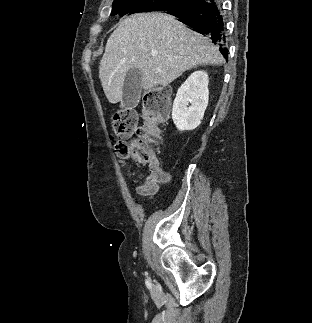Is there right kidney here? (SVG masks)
Instances as JSON below:
<instances>
[{"mask_svg": "<svg viewBox=\"0 0 312 323\" xmlns=\"http://www.w3.org/2000/svg\"><path fill=\"white\" fill-rule=\"evenodd\" d=\"M208 84L207 72L198 70L180 86L172 108V120L180 132L201 124L209 100Z\"/></svg>", "mask_w": 312, "mask_h": 323, "instance_id": "1", "label": "right kidney"}]
</instances>
